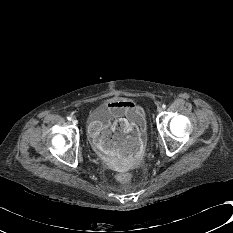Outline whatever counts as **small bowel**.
I'll use <instances>...</instances> for the list:
<instances>
[{
  "label": "small bowel",
  "mask_w": 233,
  "mask_h": 233,
  "mask_svg": "<svg viewBox=\"0 0 233 233\" xmlns=\"http://www.w3.org/2000/svg\"><path fill=\"white\" fill-rule=\"evenodd\" d=\"M107 107L114 114H124L133 122L141 119L144 114L143 108L129 99L110 100ZM120 121L126 126L123 119ZM90 134L95 144L110 157L133 161L142 154V141L133 131L110 129L104 133L102 124L94 122L90 127Z\"/></svg>",
  "instance_id": "c3829d8e"
}]
</instances>
